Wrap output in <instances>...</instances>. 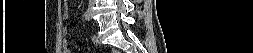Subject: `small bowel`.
<instances>
[{"mask_svg": "<svg viewBox=\"0 0 253 53\" xmlns=\"http://www.w3.org/2000/svg\"><path fill=\"white\" fill-rule=\"evenodd\" d=\"M68 15H69V14H68V10L65 9L64 12H63V18H64V19H67V18H68ZM63 34H64V35L67 34V28H64V29H63ZM63 46H64V48H65L66 50H68L69 44H68V41H67L66 39L63 41Z\"/></svg>", "mask_w": 253, "mask_h": 53, "instance_id": "small-bowel-1", "label": "small bowel"}]
</instances>
